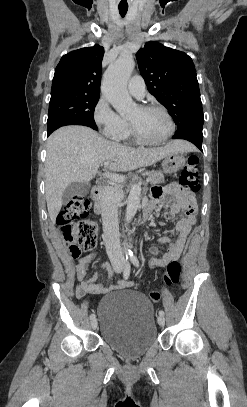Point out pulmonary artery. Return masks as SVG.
<instances>
[{
	"label": "pulmonary artery",
	"instance_id": "obj_1",
	"mask_svg": "<svg viewBox=\"0 0 247 407\" xmlns=\"http://www.w3.org/2000/svg\"><path fill=\"white\" fill-rule=\"evenodd\" d=\"M128 90L131 95L138 99H142L145 96V83L141 76L136 75L128 82Z\"/></svg>",
	"mask_w": 247,
	"mask_h": 407
}]
</instances>
